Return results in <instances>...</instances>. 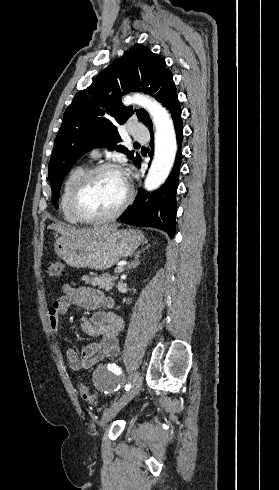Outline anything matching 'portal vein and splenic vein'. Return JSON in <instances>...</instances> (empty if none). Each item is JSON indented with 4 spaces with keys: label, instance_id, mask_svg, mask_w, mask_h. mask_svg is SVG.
Instances as JSON below:
<instances>
[{
    "label": "portal vein and splenic vein",
    "instance_id": "portal-vein-and-splenic-vein-1",
    "mask_svg": "<svg viewBox=\"0 0 279 490\" xmlns=\"http://www.w3.org/2000/svg\"><path fill=\"white\" fill-rule=\"evenodd\" d=\"M123 270H124L123 266H118V268H115V272H117V274H121Z\"/></svg>",
    "mask_w": 279,
    "mask_h": 490
}]
</instances>
